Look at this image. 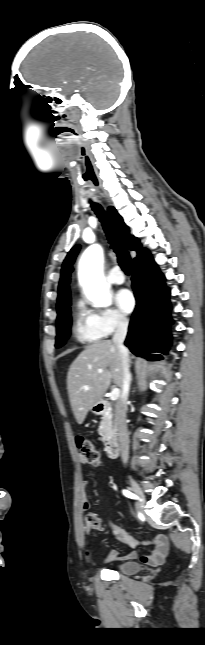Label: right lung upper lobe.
Returning <instances> with one entry per match:
<instances>
[{
    "instance_id": "right-lung-upper-lobe-1",
    "label": "right lung upper lobe",
    "mask_w": 205,
    "mask_h": 645,
    "mask_svg": "<svg viewBox=\"0 0 205 645\" xmlns=\"http://www.w3.org/2000/svg\"><path fill=\"white\" fill-rule=\"evenodd\" d=\"M108 211L112 216L116 226L118 227L120 236L123 239L126 246L130 250H135L137 252V257L133 260V263L150 257L151 256L150 252L147 249L141 247L139 239L134 236H130L129 228L125 225V223L123 222V219L117 213V211L113 207H109ZM79 249H80L79 245L74 246L69 251L62 265L61 278H60V283L58 287V298H57L58 315L64 309L69 307L71 304L70 290H69L70 273L73 270L72 264L76 258L77 253L79 252Z\"/></svg>"
}]
</instances>
